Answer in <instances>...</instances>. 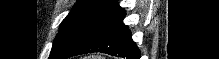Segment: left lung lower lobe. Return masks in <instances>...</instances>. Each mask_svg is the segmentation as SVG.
<instances>
[{
  "instance_id": "0a47b994",
  "label": "left lung lower lobe",
  "mask_w": 219,
  "mask_h": 59,
  "mask_svg": "<svg viewBox=\"0 0 219 59\" xmlns=\"http://www.w3.org/2000/svg\"><path fill=\"white\" fill-rule=\"evenodd\" d=\"M125 10L111 0L92 33L68 57L101 52L124 59H139L140 51L124 23ZM67 57V58H68Z\"/></svg>"
}]
</instances>
